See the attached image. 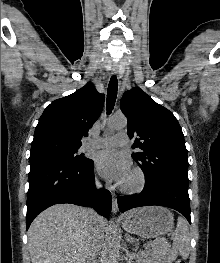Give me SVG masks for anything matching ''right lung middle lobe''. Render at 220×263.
<instances>
[{
  "instance_id": "1",
  "label": "right lung middle lobe",
  "mask_w": 220,
  "mask_h": 263,
  "mask_svg": "<svg viewBox=\"0 0 220 263\" xmlns=\"http://www.w3.org/2000/svg\"><path fill=\"white\" fill-rule=\"evenodd\" d=\"M78 149L79 147L68 148V149H50L34 155L47 156L60 161L77 164V165H82L89 162L91 159L84 157L83 154L81 155L77 154Z\"/></svg>"
}]
</instances>
